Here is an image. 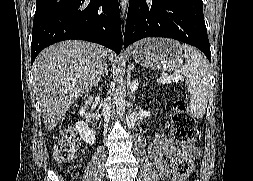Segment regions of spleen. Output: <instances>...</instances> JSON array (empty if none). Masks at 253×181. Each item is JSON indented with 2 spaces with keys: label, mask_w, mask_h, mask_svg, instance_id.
<instances>
[{
  "label": "spleen",
  "mask_w": 253,
  "mask_h": 181,
  "mask_svg": "<svg viewBox=\"0 0 253 181\" xmlns=\"http://www.w3.org/2000/svg\"><path fill=\"white\" fill-rule=\"evenodd\" d=\"M180 47L184 51L182 57L185 59V64L178 73L188 79L187 87L191 96L190 113L193 117L202 118L206 112L210 89L208 63L195 48L186 44Z\"/></svg>",
  "instance_id": "3e777b00"
}]
</instances>
